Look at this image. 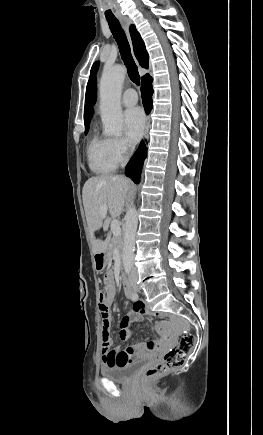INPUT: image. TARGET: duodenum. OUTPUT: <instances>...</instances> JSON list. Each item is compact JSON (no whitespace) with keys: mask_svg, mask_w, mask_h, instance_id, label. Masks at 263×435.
Listing matches in <instances>:
<instances>
[{"mask_svg":"<svg viewBox=\"0 0 263 435\" xmlns=\"http://www.w3.org/2000/svg\"><path fill=\"white\" fill-rule=\"evenodd\" d=\"M122 282L125 290V294L129 297L131 293L130 283L125 275H122Z\"/></svg>","mask_w":263,"mask_h":435,"instance_id":"1","label":"duodenum"}]
</instances>
